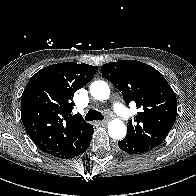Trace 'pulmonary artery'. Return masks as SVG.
I'll return each instance as SVG.
<instances>
[{
	"label": "pulmonary artery",
	"mask_w": 196,
	"mask_h": 196,
	"mask_svg": "<svg viewBox=\"0 0 196 196\" xmlns=\"http://www.w3.org/2000/svg\"><path fill=\"white\" fill-rule=\"evenodd\" d=\"M112 107L115 113L120 117L124 118L128 115V112L123 109L122 105L119 102H113Z\"/></svg>",
	"instance_id": "e3ab8cb5"
}]
</instances>
